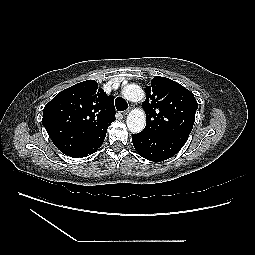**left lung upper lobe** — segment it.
I'll return each instance as SVG.
<instances>
[{
	"instance_id": "obj_1",
	"label": "left lung upper lobe",
	"mask_w": 255,
	"mask_h": 255,
	"mask_svg": "<svg viewBox=\"0 0 255 255\" xmlns=\"http://www.w3.org/2000/svg\"><path fill=\"white\" fill-rule=\"evenodd\" d=\"M146 126L142 132L189 136L198 104L193 94L179 83L156 76L145 88Z\"/></svg>"
}]
</instances>
